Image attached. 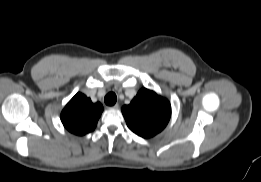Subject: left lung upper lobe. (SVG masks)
Here are the masks:
<instances>
[{
    "instance_id": "1",
    "label": "left lung upper lobe",
    "mask_w": 261,
    "mask_h": 182,
    "mask_svg": "<svg viewBox=\"0 0 261 182\" xmlns=\"http://www.w3.org/2000/svg\"><path fill=\"white\" fill-rule=\"evenodd\" d=\"M128 127L143 138L161 132L171 116L167 99L146 88L141 89L129 105L122 107Z\"/></svg>"
}]
</instances>
